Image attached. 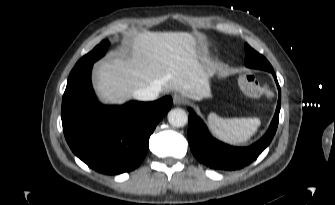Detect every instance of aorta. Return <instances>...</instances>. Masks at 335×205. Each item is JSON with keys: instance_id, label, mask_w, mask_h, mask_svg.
Segmentation results:
<instances>
[{"instance_id": "aorta-1", "label": "aorta", "mask_w": 335, "mask_h": 205, "mask_svg": "<svg viewBox=\"0 0 335 205\" xmlns=\"http://www.w3.org/2000/svg\"><path fill=\"white\" fill-rule=\"evenodd\" d=\"M168 122L174 127H183L188 122L187 113L180 108H174L168 113Z\"/></svg>"}]
</instances>
